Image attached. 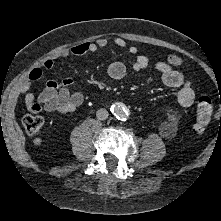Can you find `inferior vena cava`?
Wrapping results in <instances>:
<instances>
[{
	"label": "inferior vena cava",
	"mask_w": 221,
	"mask_h": 221,
	"mask_svg": "<svg viewBox=\"0 0 221 221\" xmlns=\"http://www.w3.org/2000/svg\"><path fill=\"white\" fill-rule=\"evenodd\" d=\"M108 111L106 109H99L97 112H96V116L99 120H106L108 118Z\"/></svg>",
	"instance_id": "1"
}]
</instances>
